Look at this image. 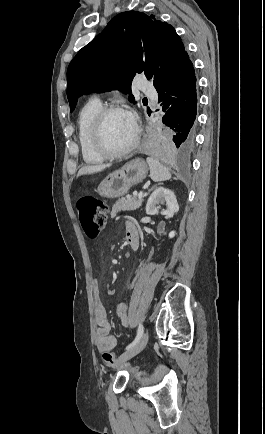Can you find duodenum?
Segmentation results:
<instances>
[{
  "instance_id": "duodenum-1",
  "label": "duodenum",
  "mask_w": 265,
  "mask_h": 434,
  "mask_svg": "<svg viewBox=\"0 0 265 434\" xmlns=\"http://www.w3.org/2000/svg\"><path fill=\"white\" fill-rule=\"evenodd\" d=\"M130 246H131L132 250H136L138 248V245L135 241L131 242Z\"/></svg>"
}]
</instances>
